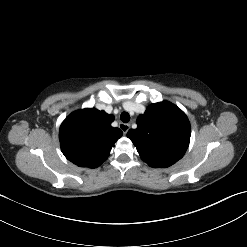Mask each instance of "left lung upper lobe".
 <instances>
[{"label":"left lung upper lobe","instance_id":"obj_1","mask_svg":"<svg viewBox=\"0 0 247 247\" xmlns=\"http://www.w3.org/2000/svg\"><path fill=\"white\" fill-rule=\"evenodd\" d=\"M136 123L127 137L149 166L166 168L183 157L189 146L190 123L177 106L168 101L152 104Z\"/></svg>","mask_w":247,"mask_h":247}]
</instances>
